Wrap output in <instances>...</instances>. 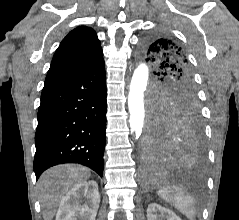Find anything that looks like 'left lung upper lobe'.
I'll return each instance as SVG.
<instances>
[{"mask_svg": "<svg viewBox=\"0 0 239 220\" xmlns=\"http://www.w3.org/2000/svg\"><path fill=\"white\" fill-rule=\"evenodd\" d=\"M141 53L155 65L158 70L155 74L162 81L154 92L153 106L164 112H198L192 67L176 39L162 31L147 34L142 41Z\"/></svg>", "mask_w": 239, "mask_h": 220, "instance_id": "left-lung-upper-lobe-1", "label": "left lung upper lobe"}]
</instances>
